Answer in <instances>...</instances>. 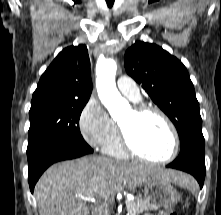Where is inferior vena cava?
Wrapping results in <instances>:
<instances>
[{
	"label": "inferior vena cava",
	"mask_w": 221,
	"mask_h": 215,
	"mask_svg": "<svg viewBox=\"0 0 221 215\" xmlns=\"http://www.w3.org/2000/svg\"><path fill=\"white\" fill-rule=\"evenodd\" d=\"M96 215H104V210L102 207L97 208Z\"/></svg>",
	"instance_id": "602c4592"
}]
</instances>
